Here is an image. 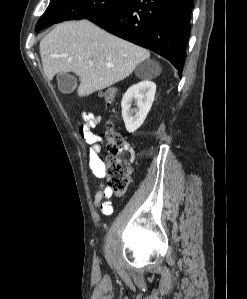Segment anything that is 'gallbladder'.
Returning <instances> with one entry per match:
<instances>
[{
    "instance_id": "1",
    "label": "gallbladder",
    "mask_w": 247,
    "mask_h": 299,
    "mask_svg": "<svg viewBox=\"0 0 247 299\" xmlns=\"http://www.w3.org/2000/svg\"><path fill=\"white\" fill-rule=\"evenodd\" d=\"M58 88L62 93L69 94L77 87V78L68 72L59 73L57 75Z\"/></svg>"
}]
</instances>
